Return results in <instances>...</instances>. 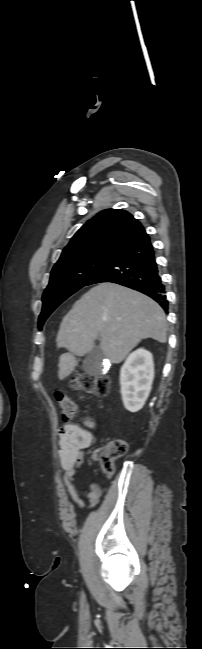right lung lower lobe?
<instances>
[{
  "instance_id": "98d812e1",
  "label": "right lung lower lobe",
  "mask_w": 202,
  "mask_h": 649,
  "mask_svg": "<svg viewBox=\"0 0 202 649\" xmlns=\"http://www.w3.org/2000/svg\"><path fill=\"white\" fill-rule=\"evenodd\" d=\"M113 282L140 291L157 301L167 311L165 286L155 261L149 236L115 254L85 284Z\"/></svg>"
}]
</instances>
